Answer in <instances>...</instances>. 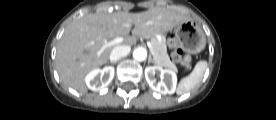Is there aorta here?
I'll use <instances>...</instances> for the list:
<instances>
[{
  "mask_svg": "<svg viewBox=\"0 0 276 120\" xmlns=\"http://www.w3.org/2000/svg\"><path fill=\"white\" fill-rule=\"evenodd\" d=\"M147 57V52L144 48H136L133 51V58L137 61H144Z\"/></svg>",
  "mask_w": 276,
  "mask_h": 120,
  "instance_id": "aorta-1",
  "label": "aorta"
}]
</instances>
